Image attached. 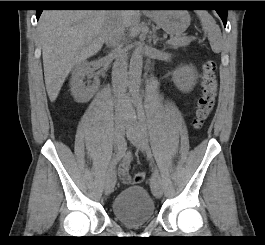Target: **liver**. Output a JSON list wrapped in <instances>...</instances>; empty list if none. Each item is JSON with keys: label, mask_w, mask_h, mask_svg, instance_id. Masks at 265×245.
<instances>
[{"label": "liver", "mask_w": 265, "mask_h": 245, "mask_svg": "<svg viewBox=\"0 0 265 245\" xmlns=\"http://www.w3.org/2000/svg\"><path fill=\"white\" fill-rule=\"evenodd\" d=\"M108 10H45L39 19L46 90L54 102L71 69L98 53L105 41ZM125 27L131 25L132 11L120 12Z\"/></svg>", "instance_id": "6515ba94"}]
</instances>
